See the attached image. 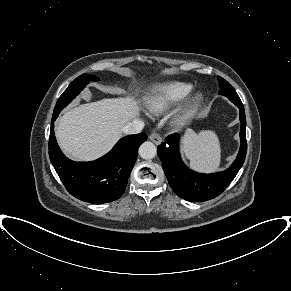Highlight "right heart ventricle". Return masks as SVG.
I'll list each match as a JSON object with an SVG mask.
<instances>
[{
  "instance_id": "right-heart-ventricle-1",
  "label": "right heart ventricle",
  "mask_w": 291,
  "mask_h": 291,
  "mask_svg": "<svg viewBox=\"0 0 291 291\" xmlns=\"http://www.w3.org/2000/svg\"><path fill=\"white\" fill-rule=\"evenodd\" d=\"M192 90L193 86L189 83L179 81L164 83L146 96L143 104L149 113L159 115L183 101Z\"/></svg>"
}]
</instances>
